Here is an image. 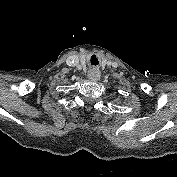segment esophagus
Here are the masks:
<instances>
[{
	"label": "esophagus",
	"instance_id": "1",
	"mask_svg": "<svg viewBox=\"0 0 177 177\" xmlns=\"http://www.w3.org/2000/svg\"><path fill=\"white\" fill-rule=\"evenodd\" d=\"M91 80H98L100 78V72L98 69L93 68L92 72L88 75Z\"/></svg>",
	"mask_w": 177,
	"mask_h": 177
}]
</instances>
